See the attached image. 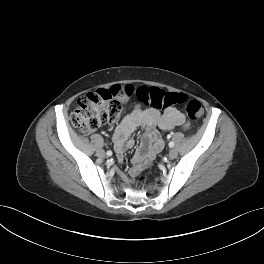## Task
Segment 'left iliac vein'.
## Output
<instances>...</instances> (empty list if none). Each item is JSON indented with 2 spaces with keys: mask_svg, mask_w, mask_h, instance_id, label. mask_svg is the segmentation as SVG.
Returning <instances> with one entry per match:
<instances>
[{
  "mask_svg": "<svg viewBox=\"0 0 264 264\" xmlns=\"http://www.w3.org/2000/svg\"><path fill=\"white\" fill-rule=\"evenodd\" d=\"M177 155H178L177 150L173 148V149H171V150L169 151L168 157H169L170 159H174V158L177 157Z\"/></svg>",
  "mask_w": 264,
  "mask_h": 264,
  "instance_id": "obj_1",
  "label": "left iliac vein"
}]
</instances>
